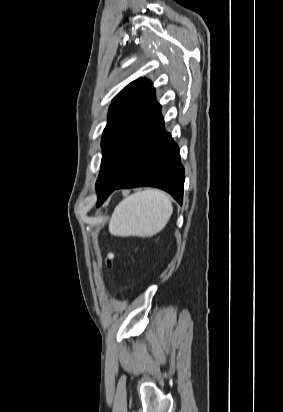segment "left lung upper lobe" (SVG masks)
<instances>
[{
	"instance_id": "left-lung-upper-lobe-1",
	"label": "left lung upper lobe",
	"mask_w": 283,
	"mask_h": 412,
	"mask_svg": "<svg viewBox=\"0 0 283 412\" xmlns=\"http://www.w3.org/2000/svg\"><path fill=\"white\" fill-rule=\"evenodd\" d=\"M154 88L141 78L131 82L113 99L101 142L102 157L125 158L133 170L147 151L157 125L163 120ZM97 194L100 191L96 182Z\"/></svg>"
}]
</instances>
